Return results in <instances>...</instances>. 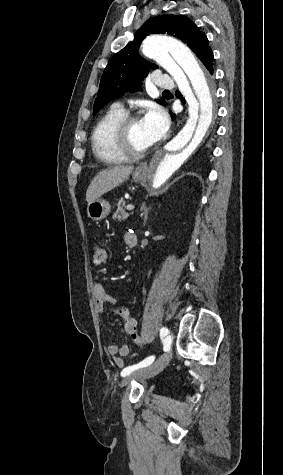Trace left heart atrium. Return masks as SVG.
I'll return each mask as SVG.
<instances>
[{"instance_id":"39dd6f15","label":"left heart atrium","mask_w":283,"mask_h":475,"mask_svg":"<svg viewBox=\"0 0 283 475\" xmlns=\"http://www.w3.org/2000/svg\"><path fill=\"white\" fill-rule=\"evenodd\" d=\"M142 122L148 131L146 135L152 143L162 139L169 127L168 116L158 105L149 106Z\"/></svg>"}]
</instances>
